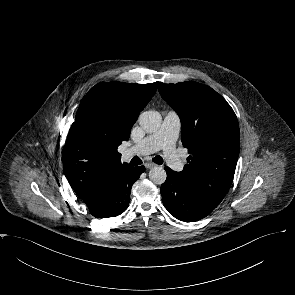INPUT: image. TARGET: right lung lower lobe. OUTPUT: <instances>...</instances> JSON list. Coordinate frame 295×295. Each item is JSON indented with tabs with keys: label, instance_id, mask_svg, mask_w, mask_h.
<instances>
[{
	"label": "right lung lower lobe",
	"instance_id": "obj_1",
	"mask_svg": "<svg viewBox=\"0 0 295 295\" xmlns=\"http://www.w3.org/2000/svg\"><path fill=\"white\" fill-rule=\"evenodd\" d=\"M144 171V166H126L105 175L97 179L81 199L96 218L117 216L128 208L131 187Z\"/></svg>",
	"mask_w": 295,
	"mask_h": 295
}]
</instances>
